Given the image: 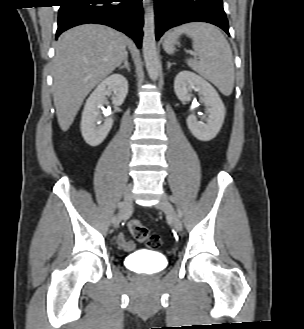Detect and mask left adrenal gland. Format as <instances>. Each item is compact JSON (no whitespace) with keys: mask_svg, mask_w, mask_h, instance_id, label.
<instances>
[{"mask_svg":"<svg viewBox=\"0 0 304 329\" xmlns=\"http://www.w3.org/2000/svg\"><path fill=\"white\" fill-rule=\"evenodd\" d=\"M174 63H170V62H167V70L170 69L171 65H173Z\"/></svg>","mask_w":304,"mask_h":329,"instance_id":"1","label":"left adrenal gland"}]
</instances>
